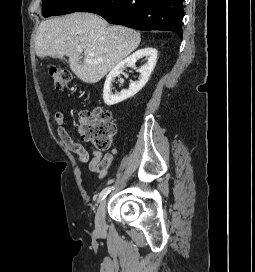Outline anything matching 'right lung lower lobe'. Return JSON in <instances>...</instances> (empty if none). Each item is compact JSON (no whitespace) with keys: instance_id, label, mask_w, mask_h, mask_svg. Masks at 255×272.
<instances>
[{"instance_id":"obj_1","label":"right lung lower lobe","mask_w":255,"mask_h":272,"mask_svg":"<svg viewBox=\"0 0 255 272\" xmlns=\"http://www.w3.org/2000/svg\"><path fill=\"white\" fill-rule=\"evenodd\" d=\"M77 12L95 13L109 23L138 30H168L183 36V0H91Z\"/></svg>"}]
</instances>
